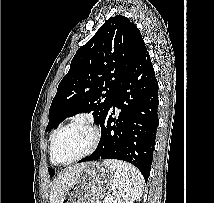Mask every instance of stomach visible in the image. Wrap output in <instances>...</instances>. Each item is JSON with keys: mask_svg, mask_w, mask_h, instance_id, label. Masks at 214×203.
<instances>
[{"mask_svg": "<svg viewBox=\"0 0 214 203\" xmlns=\"http://www.w3.org/2000/svg\"><path fill=\"white\" fill-rule=\"evenodd\" d=\"M114 173L99 162L81 166L74 185L60 203H102L114 188Z\"/></svg>", "mask_w": 214, "mask_h": 203, "instance_id": "0dacf381", "label": "stomach"}]
</instances>
